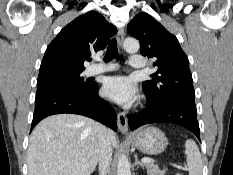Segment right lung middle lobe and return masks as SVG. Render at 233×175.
Segmentation results:
<instances>
[{"label": "right lung middle lobe", "instance_id": "obj_1", "mask_svg": "<svg viewBox=\"0 0 233 175\" xmlns=\"http://www.w3.org/2000/svg\"><path fill=\"white\" fill-rule=\"evenodd\" d=\"M90 86L91 84L86 83L84 78L81 77V73L52 75L38 78L36 96L49 91H80Z\"/></svg>", "mask_w": 233, "mask_h": 175}]
</instances>
